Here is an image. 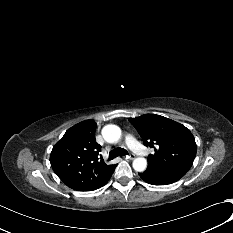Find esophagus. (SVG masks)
Instances as JSON below:
<instances>
[{"label":"esophagus","mask_w":233,"mask_h":233,"mask_svg":"<svg viewBox=\"0 0 233 233\" xmlns=\"http://www.w3.org/2000/svg\"><path fill=\"white\" fill-rule=\"evenodd\" d=\"M125 158L129 159V160H133L135 158V155L134 154H130V155H127Z\"/></svg>","instance_id":"obj_1"}]
</instances>
